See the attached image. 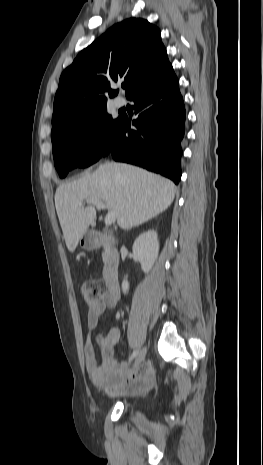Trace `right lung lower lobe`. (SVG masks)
Instances as JSON below:
<instances>
[{
    "instance_id": "right-lung-lower-lobe-1",
    "label": "right lung lower lobe",
    "mask_w": 263,
    "mask_h": 465,
    "mask_svg": "<svg viewBox=\"0 0 263 465\" xmlns=\"http://www.w3.org/2000/svg\"><path fill=\"white\" fill-rule=\"evenodd\" d=\"M138 118L123 115L102 155L160 173L176 184L181 178V141L185 133V106L172 65L129 97Z\"/></svg>"
}]
</instances>
